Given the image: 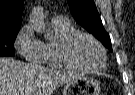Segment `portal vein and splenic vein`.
<instances>
[{"mask_svg":"<svg viewBox=\"0 0 135 95\" xmlns=\"http://www.w3.org/2000/svg\"><path fill=\"white\" fill-rule=\"evenodd\" d=\"M30 94H31L30 91H28L26 95H30Z\"/></svg>","mask_w":135,"mask_h":95,"instance_id":"1","label":"portal vein and splenic vein"}]
</instances>
